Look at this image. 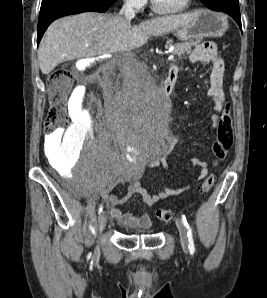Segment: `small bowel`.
I'll return each mask as SVG.
<instances>
[{
	"instance_id": "small-bowel-1",
	"label": "small bowel",
	"mask_w": 267,
	"mask_h": 298,
	"mask_svg": "<svg viewBox=\"0 0 267 298\" xmlns=\"http://www.w3.org/2000/svg\"><path fill=\"white\" fill-rule=\"evenodd\" d=\"M191 62L207 63L211 66V72L209 75V86L207 95L211 99L214 113L209 116V123L212 129L217 130L221 115L220 113L225 108V93L223 90V78L225 71V64L223 59L219 56L217 47L214 43L204 42L198 45L190 54ZM177 70L178 67L173 65ZM67 136V132L58 130L50 136L49 141L52 144H56L64 140ZM193 164L201 167V176L207 173V163L201 159L194 158ZM157 166L154 162L150 167ZM139 173L135 174H121L117 176L112 182L103 186L100 190V196L106 201L109 209L110 216L113 219L118 220L121 226L131 229H150L153 226V219L149 214H142L136 216L131 212H122L118 206L127 202L133 195H139L148 206H154L159 201L164 200L170 196L179 195L190 189L188 184L176 188H161L156 192L150 194L140 184ZM128 182L129 186L124 197L119 198L111 192L116 183Z\"/></svg>"
}]
</instances>
